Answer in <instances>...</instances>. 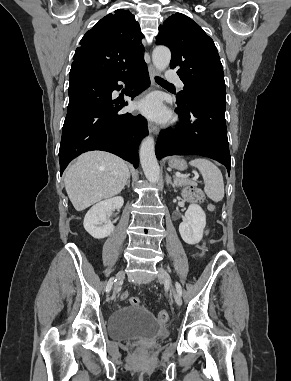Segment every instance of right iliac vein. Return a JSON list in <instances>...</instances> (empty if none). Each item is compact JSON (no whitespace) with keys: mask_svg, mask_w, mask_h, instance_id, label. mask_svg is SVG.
Wrapping results in <instances>:
<instances>
[{"mask_svg":"<svg viewBox=\"0 0 291 381\" xmlns=\"http://www.w3.org/2000/svg\"><path fill=\"white\" fill-rule=\"evenodd\" d=\"M123 278H124V272L121 270V271H119V273L117 274V279H118V282L115 284V286H114V291H113V293L114 294H117L118 292H119V282L120 281H122L123 280Z\"/></svg>","mask_w":291,"mask_h":381,"instance_id":"63e3f726","label":"right iliac vein"}]
</instances>
